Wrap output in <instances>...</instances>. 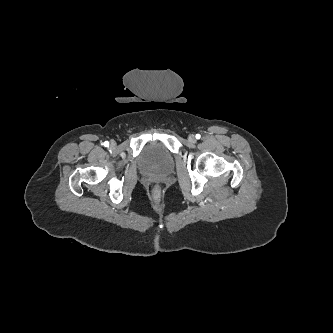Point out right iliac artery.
<instances>
[{"label":"right iliac artery","instance_id":"1","mask_svg":"<svg viewBox=\"0 0 333 333\" xmlns=\"http://www.w3.org/2000/svg\"><path fill=\"white\" fill-rule=\"evenodd\" d=\"M104 146H105V147H108V146H109V142H108V141H105V142H104Z\"/></svg>","mask_w":333,"mask_h":333}]
</instances>
